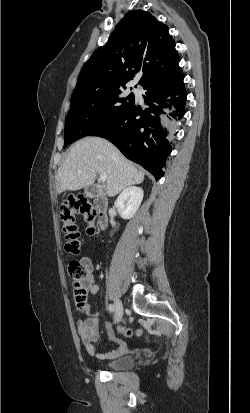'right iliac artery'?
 I'll use <instances>...</instances> for the list:
<instances>
[{
	"instance_id": "82829eb1",
	"label": "right iliac artery",
	"mask_w": 250,
	"mask_h": 413,
	"mask_svg": "<svg viewBox=\"0 0 250 413\" xmlns=\"http://www.w3.org/2000/svg\"><path fill=\"white\" fill-rule=\"evenodd\" d=\"M108 309H109L110 312H113V311H114L113 305H112V304H109Z\"/></svg>"
}]
</instances>
